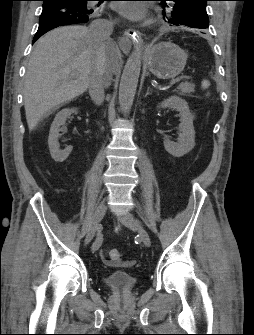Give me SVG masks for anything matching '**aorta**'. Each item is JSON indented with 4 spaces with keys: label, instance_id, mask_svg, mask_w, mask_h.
I'll list each match as a JSON object with an SVG mask.
<instances>
[{
    "label": "aorta",
    "instance_id": "obj_1",
    "mask_svg": "<svg viewBox=\"0 0 254 335\" xmlns=\"http://www.w3.org/2000/svg\"><path fill=\"white\" fill-rule=\"evenodd\" d=\"M142 64V44L139 41L129 56L119 85V105L122 113L127 115L132 107Z\"/></svg>",
    "mask_w": 254,
    "mask_h": 335
}]
</instances>
